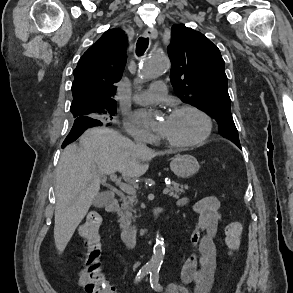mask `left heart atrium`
Wrapping results in <instances>:
<instances>
[{
    "instance_id": "1",
    "label": "left heart atrium",
    "mask_w": 293,
    "mask_h": 293,
    "mask_svg": "<svg viewBox=\"0 0 293 293\" xmlns=\"http://www.w3.org/2000/svg\"><path fill=\"white\" fill-rule=\"evenodd\" d=\"M136 118L139 122H141L144 125H148L149 123V118H150V113L146 111H138L136 113ZM164 123L162 122L161 125L159 126V132L163 129Z\"/></svg>"
}]
</instances>
